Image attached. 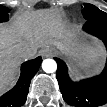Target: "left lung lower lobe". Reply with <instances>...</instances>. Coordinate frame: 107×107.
Listing matches in <instances>:
<instances>
[{"instance_id":"1","label":"left lung lower lobe","mask_w":107,"mask_h":107,"mask_svg":"<svg viewBox=\"0 0 107 107\" xmlns=\"http://www.w3.org/2000/svg\"><path fill=\"white\" fill-rule=\"evenodd\" d=\"M83 29L101 39L107 48V15L87 20ZM56 77L63 99L72 106L98 107L107 103V63L101 75L78 83L72 82L66 64L58 58Z\"/></svg>"}]
</instances>
